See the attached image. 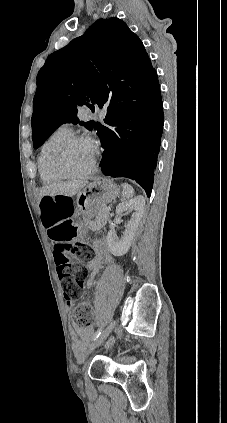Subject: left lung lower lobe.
Wrapping results in <instances>:
<instances>
[{"label":"left lung lower lobe","mask_w":227,"mask_h":423,"mask_svg":"<svg viewBox=\"0 0 227 423\" xmlns=\"http://www.w3.org/2000/svg\"><path fill=\"white\" fill-rule=\"evenodd\" d=\"M100 126L102 171L135 180L150 197L163 132V106L154 70L125 110H111Z\"/></svg>","instance_id":"1"}]
</instances>
